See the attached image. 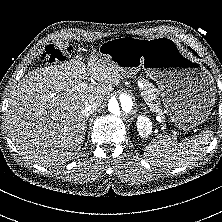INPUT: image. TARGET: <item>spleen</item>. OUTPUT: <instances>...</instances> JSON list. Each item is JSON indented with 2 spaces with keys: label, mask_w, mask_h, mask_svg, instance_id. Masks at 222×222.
Wrapping results in <instances>:
<instances>
[{
  "label": "spleen",
  "mask_w": 222,
  "mask_h": 222,
  "mask_svg": "<svg viewBox=\"0 0 222 222\" xmlns=\"http://www.w3.org/2000/svg\"><path fill=\"white\" fill-rule=\"evenodd\" d=\"M212 139L210 131H204L188 141L175 142L167 136L159 135L145 149V156L156 165L166 167L186 166L198 160L206 151Z\"/></svg>",
  "instance_id": "spleen-1"
}]
</instances>
